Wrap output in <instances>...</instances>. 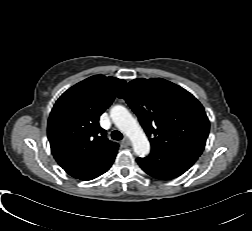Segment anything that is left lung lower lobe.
<instances>
[{
    "mask_svg": "<svg viewBox=\"0 0 252 231\" xmlns=\"http://www.w3.org/2000/svg\"><path fill=\"white\" fill-rule=\"evenodd\" d=\"M199 155L175 149H152L149 156L137 158L140 167L150 176L168 180L186 172Z\"/></svg>",
    "mask_w": 252,
    "mask_h": 231,
    "instance_id": "0a47b994",
    "label": "left lung lower lobe"
}]
</instances>
